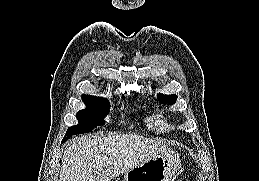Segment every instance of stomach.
<instances>
[{
	"label": "stomach",
	"instance_id": "1",
	"mask_svg": "<svg viewBox=\"0 0 259 181\" xmlns=\"http://www.w3.org/2000/svg\"><path fill=\"white\" fill-rule=\"evenodd\" d=\"M180 162L179 154L165 149L125 172L124 181H170Z\"/></svg>",
	"mask_w": 259,
	"mask_h": 181
}]
</instances>
